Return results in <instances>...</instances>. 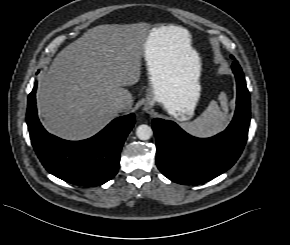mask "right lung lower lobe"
<instances>
[{
    "label": "right lung lower lobe",
    "instance_id": "98d812e1",
    "mask_svg": "<svg viewBox=\"0 0 290 245\" xmlns=\"http://www.w3.org/2000/svg\"><path fill=\"white\" fill-rule=\"evenodd\" d=\"M36 84L28 96L27 125L34 150L43 166L54 176L83 186H98L118 172L120 151L134 126V114L114 119L95 136L67 141L49 134L36 110Z\"/></svg>",
    "mask_w": 290,
    "mask_h": 245
}]
</instances>
